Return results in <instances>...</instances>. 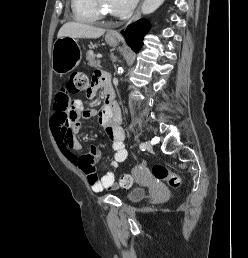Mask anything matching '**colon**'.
Instances as JSON below:
<instances>
[{
  "mask_svg": "<svg viewBox=\"0 0 248 258\" xmlns=\"http://www.w3.org/2000/svg\"><path fill=\"white\" fill-rule=\"evenodd\" d=\"M89 88V80L86 74L75 72L69 82V92L78 95ZM153 177L158 181L167 182L172 188L178 189L181 186V178L162 164H154L151 168ZM120 185L129 188L133 184V177L129 174H121L119 177Z\"/></svg>",
  "mask_w": 248,
  "mask_h": 258,
  "instance_id": "colon-1",
  "label": "colon"
}]
</instances>
